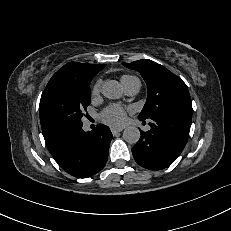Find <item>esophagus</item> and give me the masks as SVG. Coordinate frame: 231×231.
Here are the masks:
<instances>
[{"label": "esophagus", "instance_id": "34e87169", "mask_svg": "<svg viewBox=\"0 0 231 231\" xmlns=\"http://www.w3.org/2000/svg\"><path fill=\"white\" fill-rule=\"evenodd\" d=\"M122 130L123 128H111V132L114 136L120 133Z\"/></svg>", "mask_w": 231, "mask_h": 231}]
</instances>
